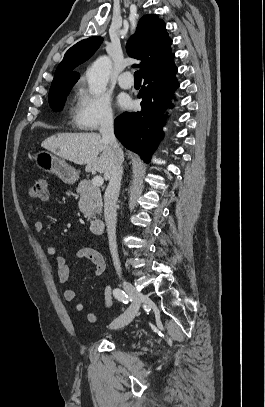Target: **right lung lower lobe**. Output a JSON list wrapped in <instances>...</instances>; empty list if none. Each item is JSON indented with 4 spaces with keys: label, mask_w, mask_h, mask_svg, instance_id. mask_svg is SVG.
Masks as SVG:
<instances>
[{
    "label": "right lung lower lobe",
    "mask_w": 265,
    "mask_h": 407,
    "mask_svg": "<svg viewBox=\"0 0 265 407\" xmlns=\"http://www.w3.org/2000/svg\"><path fill=\"white\" fill-rule=\"evenodd\" d=\"M174 54L159 61L154 68L144 74V85L138 97L142 98L140 112L124 113L115 120V135L129 150L139 154L149 162L151 154L163 137L162 112L171 105L169 100L179 86L175 79L177 68Z\"/></svg>",
    "instance_id": "obj_1"
}]
</instances>
